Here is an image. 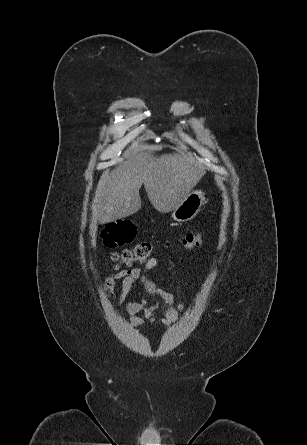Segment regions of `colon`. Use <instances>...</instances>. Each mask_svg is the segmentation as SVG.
<instances>
[{
  "mask_svg": "<svg viewBox=\"0 0 307 445\" xmlns=\"http://www.w3.org/2000/svg\"><path fill=\"white\" fill-rule=\"evenodd\" d=\"M137 234V227L129 219H120L113 221L105 226L101 232V238L105 246L116 248L130 243ZM203 232H194L186 234L182 239V245L188 250H195L203 241ZM150 243H139L133 248L114 252L111 259L117 267L121 265L131 266L134 263L148 262L152 253Z\"/></svg>",
  "mask_w": 307,
  "mask_h": 445,
  "instance_id": "obj_1",
  "label": "colon"
}]
</instances>
